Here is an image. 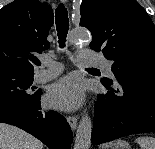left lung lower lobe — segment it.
I'll use <instances>...</instances> for the list:
<instances>
[{"mask_svg": "<svg viewBox=\"0 0 155 149\" xmlns=\"http://www.w3.org/2000/svg\"><path fill=\"white\" fill-rule=\"evenodd\" d=\"M116 79L124 93L119 94L112 82L102 79L110 91L99 94L95 103L93 145L131 134L155 133V67H129Z\"/></svg>", "mask_w": 155, "mask_h": 149, "instance_id": "left-lung-lower-lobe-1", "label": "left lung lower lobe"}]
</instances>
